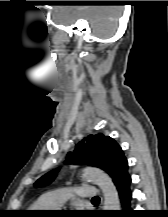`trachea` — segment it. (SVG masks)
I'll use <instances>...</instances> for the list:
<instances>
[{
  "label": "trachea",
  "mask_w": 168,
  "mask_h": 217,
  "mask_svg": "<svg viewBox=\"0 0 168 217\" xmlns=\"http://www.w3.org/2000/svg\"><path fill=\"white\" fill-rule=\"evenodd\" d=\"M99 199H100L99 197H94V198H93V200H99Z\"/></svg>",
  "instance_id": "3493384b"
}]
</instances>
